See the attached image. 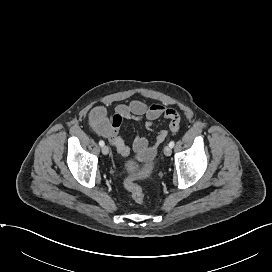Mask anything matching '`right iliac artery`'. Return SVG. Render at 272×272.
<instances>
[{
	"mask_svg": "<svg viewBox=\"0 0 272 272\" xmlns=\"http://www.w3.org/2000/svg\"><path fill=\"white\" fill-rule=\"evenodd\" d=\"M99 145H100L101 147H103V146H104V141H103V140H100V141H99Z\"/></svg>",
	"mask_w": 272,
	"mask_h": 272,
	"instance_id": "obj_1",
	"label": "right iliac artery"
}]
</instances>
